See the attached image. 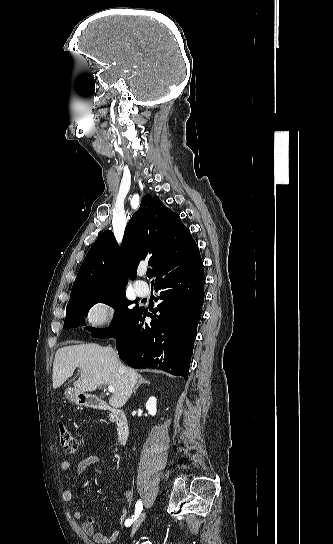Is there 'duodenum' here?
Wrapping results in <instances>:
<instances>
[{
  "mask_svg": "<svg viewBox=\"0 0 333 544\" xmlns=\"http://www.w3.org/2000/svg\"><path fill=\"white\" fill-rule=\"evenodd\" d=\"M79 403L86 407L108 410L116 425L117 440L120 444H125L129 435V426L123 410L109 406L102 399L92 395H80Z\"/></svg>",
  "mask_w": 333,
  "mask_h": 544,
  "instance_id": "410a0bca",
  "label": "duodenum"
}]
</instances>
